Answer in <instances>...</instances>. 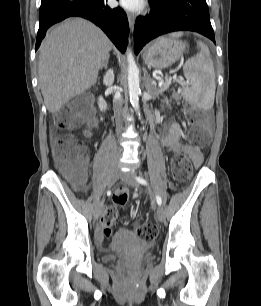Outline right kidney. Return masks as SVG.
Wrapping results in <instances>:
<instances>
[{
	"label": "right kidney",
	"mask_w": 261,
	"mask_h": 306,
	"mask_svg": "<svg viewBox=\"0 0 261 306\" xmlns=\"http://www.w3.org/2000/svg\"><path fill=\"white\" fill-rule=\"evenodd\" d=\"M114 82V72L112 69L108 70L106 72V74L104 75V79H103V83L106 85V86H110L112 85ZM98 106H99V109L101 111H105L106 108H107V103L106 101L103 99L102 96L99 97L98 99Z\"/></svg>",
	"instance_id": "right-kidney-1"
}]
</instances>
